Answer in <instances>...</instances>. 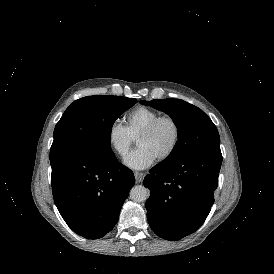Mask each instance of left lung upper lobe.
<instances>
[{"instance_id": "1", "label": "left lung upper lobe", "mask_w": 274, "mask_h": 274, "mask_svg": "<svg viewBox=\"0 0 274 274\" xmlns=\"http://www.w3.org/2000/svg\"><path fill=\"white\" fill-rule=\"evenodd\" d=\"M140 103L165 112L177 127L178 141L163 164L169 165L202 151H220L217 128L198 107L180 99H154Z\"/></svg>"}]
</instances>
